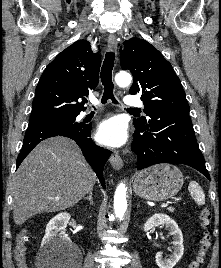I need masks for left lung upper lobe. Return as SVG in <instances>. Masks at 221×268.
<instances>
[{
	"label": "left lung upper lobe",
	"mask_w": 221,
	"mask_h": 268,
	"mask_svg": "<svg viewBox=\"0 0 221 268\" xmlns=\"http://www.w3.org/2000/svg\"><path fill=\"white\" fill-rule=\"evenodd\" d=\"M120 64L133 74L131 95L141 94L144 112H179L189 114L190 107L181 82L171 64L150 43L133 38L124 43ZM146 118L134 119L144 124Z\"/></svg>",
	"instance_id": "obj_1"
}]
</instances>
